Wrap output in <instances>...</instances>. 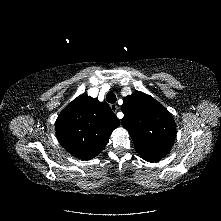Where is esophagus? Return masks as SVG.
Segmentation results:
<instances>
[{"label": "esophagus", "mask_w": 221, "mask_h": 221, "mask_svg": "<svg viewBox=\"0 0 221 221\" xmlns=\"http://www.w3.org/2000/svg\"><path fill=\"white\" fill-rule=\"evenodd\" d=\"M110 107L114 113H116L119 110V107L116 104H111Z\"/></svg>", "instance_id": "obj_1"}]
</instances>
